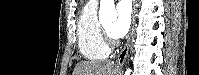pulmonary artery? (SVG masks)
<instances>
[{
	"instance_id": "obj_1",
	"label": "pulmonary artery",
	"mask_w": 199,
	"mask_h": 75,
	"mask_svg": "<svg viewBox=\"0 0 199 75\" xmlns=\"http://www.w3.org/2000/svg\"><path fill=\"white\" fill-rule=\"evenodd\" d=\"M88 5L89 6H96L97 5V1H89Z\"/></svg>"
}]
</instances>
